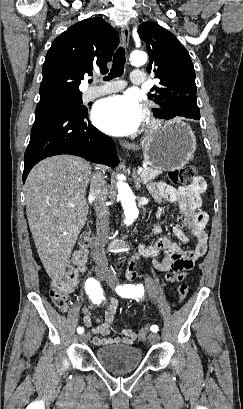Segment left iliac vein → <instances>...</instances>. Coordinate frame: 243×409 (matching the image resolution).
<instances>
[{"mask_svg": "<svg viewBox=\"0 0 243 409\" xmlns=\"http://www.w3.org/2000/svg\"><path fill=\"white\" fill-rule=\"evenodd\" d=\"M106 282L112 288L116 287V285L119 284L117 277L113 274L107 275ZM148 340L150 343H157L159 341V335L154 332L150 333L148 336Z\"/></svg>", "mask_w": 243, "mask_h": 409, "instance_id": "obj_1", "label": "left iliac vein"}]
</instances>
